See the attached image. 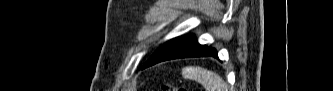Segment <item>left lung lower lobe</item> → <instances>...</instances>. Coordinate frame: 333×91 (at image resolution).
I'll return each mask as SVG.
<instances>
[{"instance_id":"0a47b994","label":"left lung lower lobe","mask_w":333,"mask_h":91,"mask_svg":"<svg viewBox=\"0 0 333 91\" xmlns=\"http://www.w3.org/2000/svg\"><path fill=\"white\" fill-rule=\"evenodd\" d=\"M206 56L217 57V52L214 48L200 45L193 35H186L174 38L159 47L142 69L170 59Z\"/></svg>"}]
</instances>
